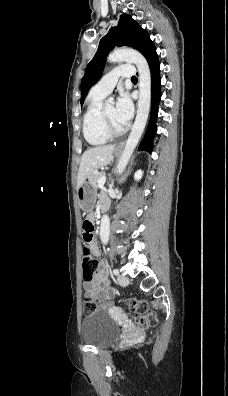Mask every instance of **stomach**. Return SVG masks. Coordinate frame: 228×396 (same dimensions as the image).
I'll list each match as a JSON object with an SVG mask.
<instances>
[{
	"mask_svg": "<svg viewBox=\"0 0 228 396\" xmlns=\"http://www.w3.org/2000/svg\"><path fill=\"white\" fill-rule=\"evenodd\" d=\"M115 154H118V150H115ZM97 197L96 188L93 187L90 182H84L79 188H77V198L79 206L83 212H91L95 206Z\"/></svg>",
	"mask_w": 228,
	"mask_h": 396,
	"instance_id": "obj_1",
	"label": "stomach"
}]
</instances>
